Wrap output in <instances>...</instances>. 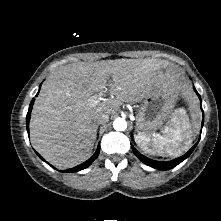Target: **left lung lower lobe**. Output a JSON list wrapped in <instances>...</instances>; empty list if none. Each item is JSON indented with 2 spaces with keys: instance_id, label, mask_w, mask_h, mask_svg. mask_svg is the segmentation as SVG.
<instances>
[{
  "instance_id": "1",
  "label": "left lung lower lobe",
  "mask_w": 221,
  "mask_h": 221,
  "mask_svg": "<svg viewBox=\"0 0 221 221\" xmlns=\"http://www.w3.org/2000/svg\"><path fill=\"white\" fill-rule=\"evenodd\" d=\"M195 90V88H194ZM195 92L197 93V91L195 90ZM199 99L201 100L200 95L197 93ZM203 125V124H202ZM198 142L183 156L174 159L172 161H168V162H161V161H155L152 159H149L145 156H143L142 154H140L134 147L133 145H131L132 150L134 152V154L146 165L155 168V169H159V170H169L174 168L175 166H177L178 164H180L182 161H184L186 158L189 157V155L193 152V150L195 149V147L197 146Z\"/></svg>"
}]
</instances>
